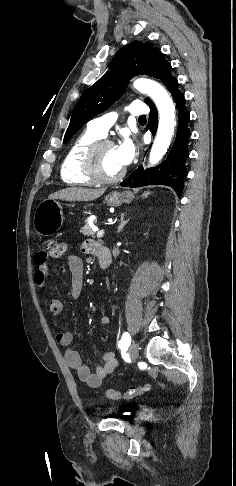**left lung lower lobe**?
<instances>
[{"instance_id":"0a47b994","label":"left lung lower lobe","mask_w":236,"mask_h":486,"mask_svg":"<svg viewBox=\"0 0 236 486\" xmlns=\"http://www.w3.org/2000/svg\"><path fill=\"white\" fill-rule=\"evenodd\" d=\"M165 86L173 96L178 110V128L174 145L172 146L167 159L160 165L146 170L140 166L120 185L124 187H141L161 184L168 185L176 191L180 198L183 190L184 178L187 175L185 160L189 156L187 147L188 139L190 137V131L187 128L189 112L184 105V95L178 91L177 79L174 77L169 79L165 83ZM147 105L151 109L148 128L152 134L155 135L158 125L157 109L152 101Z\"/></svg>"}]
</instances>
